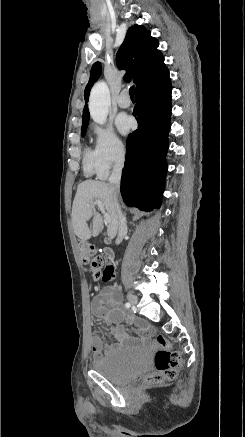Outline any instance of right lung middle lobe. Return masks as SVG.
I'll return each instance as SVG.
<instances>
[{
  "label": "right lung middle lobe",
  "instance_id": "dd1d6c3e",
  "mask_svg": "<svg viewBox=\"0 0 245 437\" xmlns=\"http://www.w3.org/2000/svg\"><path fill=\"white\" fill-rule=\"evenodd\" d=\"M86 128H87V125H86V126H83L82 129H81V136H82V137L85 136Z\"/></svg>",
  "mask_w": 245,
  "mask_h": 437
}]
</instances>
